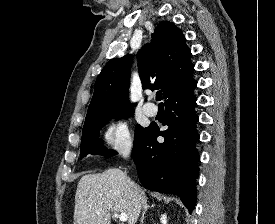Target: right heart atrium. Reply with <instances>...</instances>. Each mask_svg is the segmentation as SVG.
I'll return each mask as SVG.
<instances>
[{"label":"right heart atrium","instance_id":"d8ad5b80","mask_svg":"<svg viewBox=\"0 0 275 224\" xmlns=\"http://www.w3.org/2000/svg\"><path fill=\"white\" fill-rule=\"evenodd\" d=\"M107 145L120 154H127L132 149V139L125 122L119 121L109 125L104 132Z\"/></svg>","mask_w":275,"mask_h":224}]
</instances>
